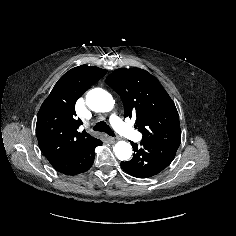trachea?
Masks as SVG:
<instances>
[{
  "mask_svg": "<svg viewBox=\"0 0 236 236\" xmlns=\"http://www.w3.org/2000/svg\"><path fill=\"white\" fill-rule=\"evenodd\" d=\"M94 131H98V132H104L107 133L110 136H114V132L111 130V128L109 127L108 124H106L104 121H100L98 122L94 127H93Z\"/></svg>",
  "mask_w": 236,
  "mask_h": 236,
  "instance_id": "3493384b",
  "label": "trachea"
}]
</instances>
